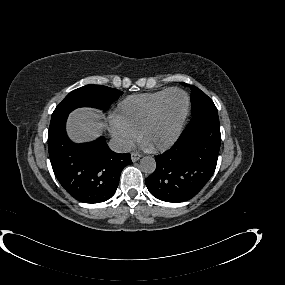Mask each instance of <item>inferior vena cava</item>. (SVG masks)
Masks as SVG:
<instances>
[{"instance_id":"obj_1","label":"inferior vena cava","mask_w":285,"mask_h":285,"mask_svg":"<svg viewBox=\"0 0 285 285\" xmlns=\"http://www.w3.org/2000/svg\"><path fill=\"white\" fill-rule=\"evenodd\" d=\"M109 147L114 152L127 153L133 149L134 145L131 141L126 140L123 137L116 136L110 139Z\"/></svg>"}]
</instances>
